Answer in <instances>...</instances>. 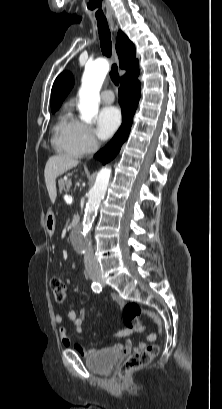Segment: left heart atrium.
<instances>
[{
    "label": "left heart atrium",
    "instance_id": "39dd6f15",
    "mask_svg": "<svg viewBox=\"0 0 222 409\" xmlns=\"http://www.w3.org/2000/svg\"><path fill=\"white\" fill-rule=\"evenodd\" d=\"M121 122L120 111L114 106H107L100 110L97 118V135L106 140L118 129Z\"/></svg>",
    "mask_w": 222,
    "mask_h": 409
}]
</instances>
